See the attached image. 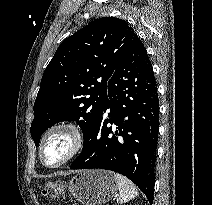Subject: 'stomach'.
Instances as JSON below:
<instances>
[{"instance_id": "stomach-1", "label": "stomach", "mask_w": 212, "mask_h": 205, "mask_svg": "<svg viewBox=\"0 0 212 205\" xmlns=\"http://www.w3.org/2000/svg\"><path fill=\"white\" fill-rule=\"evenodd\" d=\"M67 187L83 205H102L115 197L118 190L114 174L100 169L77 173Z\"/></svg>"}]
</instances>
